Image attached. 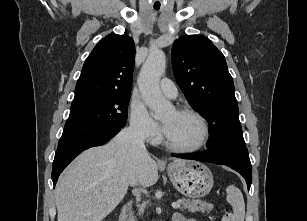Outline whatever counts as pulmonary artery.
<instances>
[{"label":"pulmonary artery","mask_w":307,"mask_h":221,"mask_svg":"<svg viewBox=\"0 0 307 221\" xmlns=\"http://www.w3.org/2000/svg\"><path fill=\"white\" fill-rule=\"evenodd\" d=\"M161 92L168 98H175L178 94L177 87L168 78H163L160 82Z\"/></svg>","instance_id":"pulmonary-artery-1"}]
</instances>
